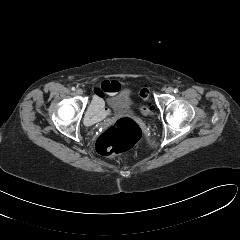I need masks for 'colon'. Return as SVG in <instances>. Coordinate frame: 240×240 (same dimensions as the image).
Here are the masks:
<instances>
[{"label": "colon", "mask_w": 240, "mask_h": 240, "mask_svg": "<svg viewBox=\"0 0 240 240\" xmlns=\"http://www.w3.org/2000/svg\"><path fill=\"white\" fill-rule=\"evenodd\" d=\"M140 95L148 98V89L141 90ZM151 107H145L144 112L149 113ZM140 126L129 118H121L105 130L96 140V150L100 155L115 157L132 148L141 138Z\"/></svg>", "instance_id": "5ec220e1"}]
</instances>
